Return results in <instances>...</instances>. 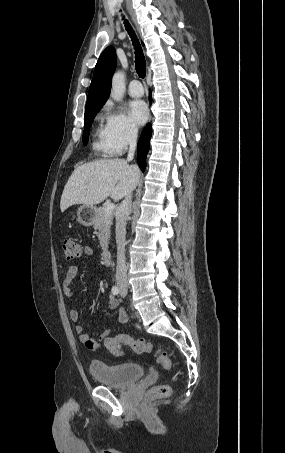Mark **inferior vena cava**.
<instances>
[{
  "instance_id": "inferior-vena-cava-1",
  "label": "inferior vena cava",
  "mask_w": 285,
  "mask_h": 453,
  "mask_svg": "<svg viewBox=\"0 0 285 453\" xmlns=\"http://www.w3.org/2000/svg\"><path fill=\"white\" fill-rule=\"evenodd\" d=\"M137 129L132 128L129 133V152L127 161L134 158L137 144ZM131 213V195H128L120 204L116 215V244H117V266L116 282L118 284L127 283V266L125 262V244H126V221Z\"/></svg>"
}]
</instances>
